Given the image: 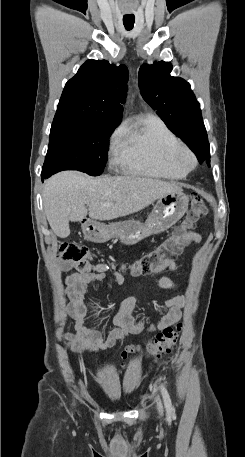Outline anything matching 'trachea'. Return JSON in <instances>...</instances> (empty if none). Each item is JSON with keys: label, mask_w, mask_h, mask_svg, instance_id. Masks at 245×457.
<instances>
[{"label": "trachea", "mask_w": 245, "mask_h": 457, "mask_svg": "<svg viewBox=\"0 0 245 457\" xmlns=\"http://www.w3.org/2000/svg\"><path fill=\"white\" fill-rule=\"evenodd\" d=\"M135 17L132 13L124 15L123 24L126 30H132L134 26Z\"/></svg>", "instance_id": "obj_1"}]
</instances>
